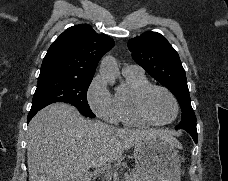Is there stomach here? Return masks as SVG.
Here are the masks:
<instances>
[{
	"mask_svg": "<svg viewBox=\"0 0 228 181\" xmlns=\"http://www.w3.org/2000/svg\"><path fill=\"white\" fill-rule=\"evenodd\" d=\"M134 159L141 181H181L180 155L161 135H149L134 145Z\"/></svg>",
	"mask_w": 228,
	"mask_h": 181,
	"instance_id": "1",
	"label": "stomach"
}]
</instances>
